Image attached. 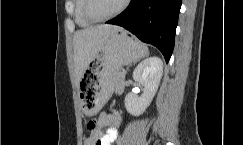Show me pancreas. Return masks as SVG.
Segmentation results:
<instances>
[{"mask_svg": "<svg viewBox=\"0 0 243 145\" xmlns=\"http://www.w3.org/2000/svg\"><path fill=\"white\" fill-rule=\"evenodd\" d=\"M115 79H116V86H117V88H122L123 87V85H124V76H122L121 75V72H117L116 73V77H115Z\"/></svg>", "mask_w": 243, "mask_h": 145, "instance_id": "cf45deb5", "label": "pancreas"}]
</instances>
